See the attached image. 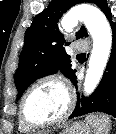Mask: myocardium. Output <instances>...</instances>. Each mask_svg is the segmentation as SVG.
Instances as JSON below:
<instances>
[{
  "label": "myocardium",
  "mask_w": 116,
  "mask_h": 134,
  "mask_svg": "<svg viewBox=\"0 0 116 134\" xmlns=\"http://www.w3.org/2000/svg\"><path fill=\"white\" fill-rule=\"evenodd\" d=\"M47 82L58 83L64 88V90L67 94V98H68L67 107H66L65 111L59 117H57L55 119L48 120L45 122H34V121L30 120L25 114V101H26V98L29 95V93L34 88H36L37 86H39L43 83H47ZM74 105H75V94H74V91L71 88V86L68 84V82L60 76L47 75V76H44V77L36 80L34 83H32L26 89L24 94L22 95L20 103H19V118L25 125H27L28 127L32 128V129L46 128V127L54 126V125L64 122L71 114V112L74 108Z\"/></svg>",
  "instance_id": "f54148a6"
}]
</instances>
